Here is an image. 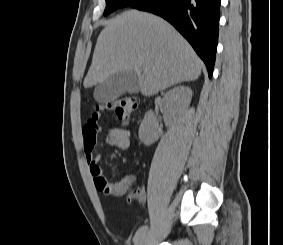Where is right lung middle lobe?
Masks as SVG:
<instances>
[{"label":"right lung middle lobe","instance_id":"obj_1","mask_svg":"<svg viewBox=\"0 0 283 245\" xmlns=\"http://www.w3.org/2000/svg\"><path fill=\"white\" fill-rule=\"evenodd\" d=\"M139 1L140 0H106V8L104 11V15H108L109 13L115 11L118 8L132 6Z\"/></svg>","mask_w":283,"mask_h":245}]
</instances>
